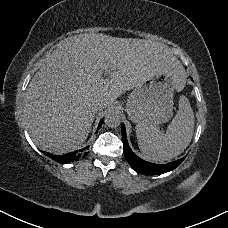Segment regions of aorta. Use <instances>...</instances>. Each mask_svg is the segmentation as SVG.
I'll return each instance as SVG.
<instances>
[{
    "instance_id": "aorta-1",
    "label": "aorta",
    "mask_w": 228,
    "mask_h": 228,
    "mask_svg": "<svg viewBox=\"0 0 228 228\" xmlns=\"http://www.w3.org/2000/svg\"><path fill=\"white\" fill-rule=\"evenodd\" d=\"M105 123L108 127L116 128L121 124L120 116L115 111H110L105 116Z\"/></svg>"
}]
</instances>
